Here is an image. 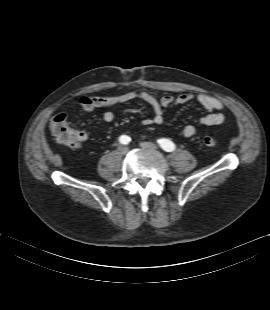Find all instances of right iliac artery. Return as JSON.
Instances as JSON below:
<instances>
[{"mask_svg": "<svg viewBox=\"0 0 270 310\" xmlns=\"http://www.w3.org/2000/svg\"><path fill=\"white\" fill-rule=\"evenodd\" d=\"M119 141L121 144H128L130 142V137L127 135H122L119 137Z\"/></svg>", "mask_w": 270, "mask_h": 310, "instance_id": "82829eb1", "label": "right iliac artery"}]
</instances>
